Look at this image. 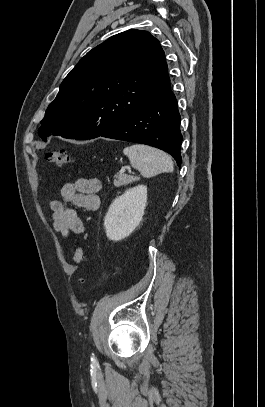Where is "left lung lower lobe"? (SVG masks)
<instances>
[{"mask_svg":"<svg viewBox=\"0 0 265 407\" xmlns=\"http://www.w3.org/2000/svg\"><path fill=\"white\" fill-rule=\"evenodd\" d=\"M102 137L147 144L168 152L181 165L180 114L170 84Z\"/></svg>","mask_w":265,"mask_h":407,"instance_id":"1","label":"left lung lower lobe"}]
</instances>
